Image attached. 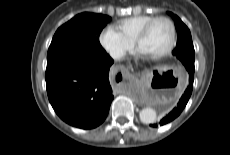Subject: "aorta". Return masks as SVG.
Segmentation results:
<instances>
[{
	"mask_svg": "<svg viewBox=\"0 0 230 155\" xmlns=\"http://www.w3.org/2000/svg\"><path fill=\"white\" fill-rule=\"evenodd\" d=\"M140 120L144 124H152L157 120V113L153 108L147 107L140 111Z\"/></svg>",
	"mask_w": 230,
	"mask_h": 155,
	"instance_id": "aorta-1",
	"label": "aorta"
}]
</instances>
